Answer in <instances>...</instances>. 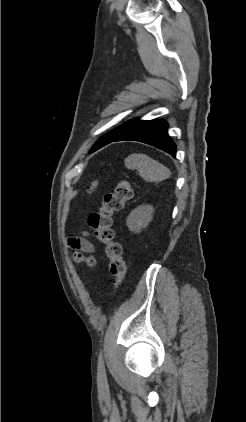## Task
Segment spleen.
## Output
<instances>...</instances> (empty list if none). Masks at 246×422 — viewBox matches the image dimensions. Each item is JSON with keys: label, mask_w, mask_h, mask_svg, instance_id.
Wrapping results in <instances>:
<instances>
[{"label": "spleen", "mask_w": 246, "mask_h": 422, "mask_svg": "<svg viewBox=\"0 0 246 422\" xmlns=\"http://www.w3.org/2000/svg\"><path fill=\"white\" fill-rule=\"evenodd\" d=\"M124 164L127 169H136L147 182H160L171 175V171L167 167L142 153L129 155Z\"/></svg>", "instance_id": "obj_1"}]
</instances>
